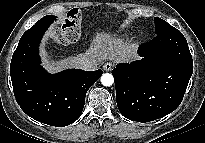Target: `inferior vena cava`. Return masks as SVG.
Wrapping results in <instances>:
<instances>
[{
  "mask_svg": "<svg viewBox=\"0 0 205 143\" xmlns=\"http://www.w3.org/2000/svg\"><path fill=\"white\" fill-rule=\"evenodd\" d=\"M78 63L80 64V67L86 71H94L97 69L98 65L95 60L89 59L86 56H80L78 58Z\"/></svg>",
  "mask_w": 205,
  "mask_h": 143,
  "instance_id": "602c4592",
  "label": "inferior vena cava"
}]
</instances>
